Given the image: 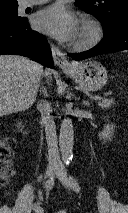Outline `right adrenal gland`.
I'll return each instance as SVG.
<instances>
[{
	"instance_id": "1",
	"label": "right adrenal gland",
	"mask_w": 128,
	"mask_h": 213,
	"mask_svg": "<svg viewBox=\"0 0 128 213\" xmlns=\"http://www.w3.org/2000/svg\"><path fill=\"white\" fill-rule=\"evenodd\" d=\"M40 92H42V93L44 94V96H47L46 89H44V88H41Z\"/></svg>"
}]
</instances>
